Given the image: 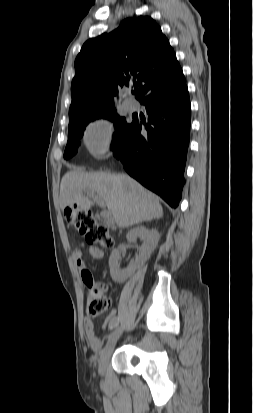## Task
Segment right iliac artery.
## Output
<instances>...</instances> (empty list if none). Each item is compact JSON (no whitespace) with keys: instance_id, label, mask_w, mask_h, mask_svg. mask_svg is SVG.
Returning <instances> with one entry per match:
<instances>
[{"instance_id":"obj_1","label":"right iliac artery","mask_w":253,"mask_h":413,"mask_svg":"<svg viewBox=\"0 0 253 413\" xmlns=\"http://www.w3.org/2000/svg\"><path fill=\"white\" fill-rule=\"evenodd\" d=\"M118 323H119V319H117V320L114 322V324L111 326L110 329L115 328V327L118 325Z\"/></svg>"}]
</instances>
